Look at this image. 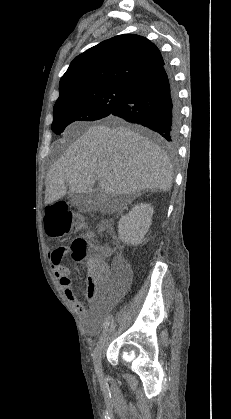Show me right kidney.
Listing matches in <instances>:
<instances>
[{
	"instance_id": "1",
	"label": "right kidney",
	"mask_w": 231,
	"mask_h": 419,
	"mask_svg": "<svg viewBox=\"0 0 231 419\" xmlns=\"http://www.w3.org/2000/svg\"><path fill=\"white\" fill-rule=\"evenodd\" d=\"M153 212V207L150 204L135 205L118 222L119 238L125 244H141L152 223Z\"/></svg>"
}]
</instances>
